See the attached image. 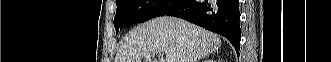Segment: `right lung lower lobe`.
<instances>
[{
	"mask_svg": "<svg viewBox=\"0 0 331 62\" xmlns=\"http://www.w3.org/2000/svg\"><path fill=\"white\" fill-rule=\"evenodd\" d=\"M175 16L226 37L239 54V0H181L162 16Z\"/></svg>",
	"mask_w": 331,
	"mask_h": 62,
	"instance_id": "obj_1",
	"label": "right lung lower lobe"
}]
</instances>
